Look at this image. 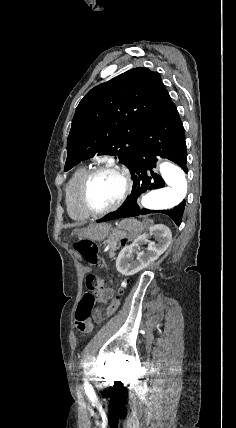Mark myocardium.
<instances>
[{
  "mask_svg": "<svg viewBox=\"0 0 236 428\" xmlns=\"http://www.w3.org/2000/svg\"><path fill=\"white\" fill-rule=\"evenodd\" d=\"M105 171H114L119 173L124 179L125 190L123 195L121 196V198L116 204L104 209H96L89 202L88 188L93 178L96 175ZM133 189H134V181L132 178V173L128 168V166L118 161H106L88 170V172L86 173L85 177L83 178L80 184L79 197H80V202L82 207L91 216H102V215L114 212L119 208H121L124 205V203L127 201V199L130 197V195L132 194Z\"/></svg>",
  "mask_w": 236,
  "mask_h": 428,
  "instance_id": "obj_1",
  "label": "myocardium"
}]
</instances>
